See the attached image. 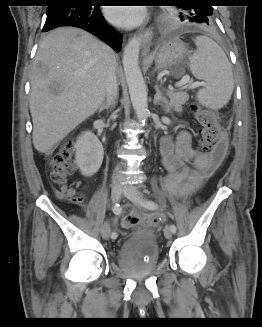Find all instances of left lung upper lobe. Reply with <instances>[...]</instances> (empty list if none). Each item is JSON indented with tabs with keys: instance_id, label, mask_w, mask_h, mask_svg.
Returning a JSON list of instances; mask_svg holds the SVG:
<instances>
[{
	"instance_id": "1",
	"label": "left lung upper lobe",
	"mask_w": 262,
	"mask_h": 327,
	"mask_svg": "<svg viewBox=\"0 0 262 327\" xmlns=\"http://www.w3.org/2000/svg\"><path fill=\"white\" fill-rule=\"evenodd\" d=\"M178 12H163L164 23L168 26H198L210 28L214 25L212 6L200 4L197 0H181Z\"/></svg>"
}]
</instances>
